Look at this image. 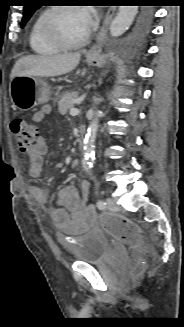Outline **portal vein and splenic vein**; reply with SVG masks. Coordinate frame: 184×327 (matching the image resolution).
Segmentation results:
<instances>
[{"instance_id":"18ae733b","label":"portal vein and splenic vein","mask_w":184,"mask_h":327,"mask_svg":"<svg viewBox=\"0 0 184 327\" xmlns=\"http://www.w3.org/2000/svg\"><path fill=\"white\" fill-rule=\"evenodd\" d=\"M79 114V110L76 108L70 109V115L75 116Z\"/></svg>"}]
</instances>
